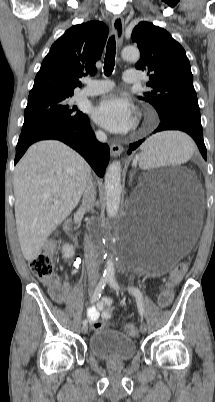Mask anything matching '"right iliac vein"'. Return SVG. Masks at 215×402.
Returning a JSON list of instances; mask_svg holds the SVG:
<instances>
[{
    "instance_id": "1",
    "label": "right iliac vein",
    "mask_w": 215,
    "mask_h": 402,
    "mask_svg": "<svg viewBox=\"0 0 215 402\" xmlns=\"http://www.w3.org/2000/svg\"><path fill=\"white\" fill-rule=\"evenodd\" d=\"M81 330H82V333L86 334L88 332L87 325H83Z\"/></svg>"
}]
</instances>
